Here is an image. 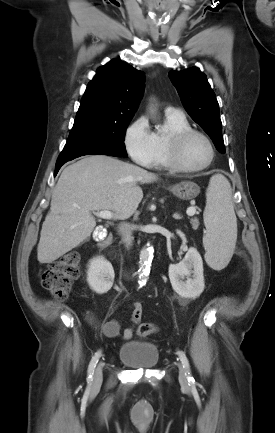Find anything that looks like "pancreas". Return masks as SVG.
Returning a JSON list of instances; mask_svg holds the SVG:
<instances>
[{
  "instance_id": "pancreas-1",
  "label": "pancreas",
  "mask_w": 275,
  "mask_h": 433,
  "mask_svg": "<svg viewBox=\"0 0 275 433\" xmlns=\"http://www.w3.org/2000/svg\"><path fill=\"white\" fill-rule=\"evenodd\" d=\"M190 223L192 224L193 229H197L199 226V221L197 219H191Z\"/></svg>"
}]
</instances>
